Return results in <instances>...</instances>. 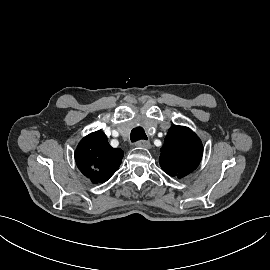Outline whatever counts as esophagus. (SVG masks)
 Listing matches in <instances>:
<instances>
[{
    "mask_svg": "<svg viewBox=\"0 0 270 270\" xmlns=\"http://www.w3.org/2000/svg\"><path fill=\"white\" fill-rule=\"evenodd\" d=\"M137 147L149 149L151 147V144L147 140H139L135 144Z\"/></svg>",
    "mask_w": 270,
    "mask_h": 270,
    "instance_id": "obj_1",
    "label": "esophagus"
}]
</instances>
